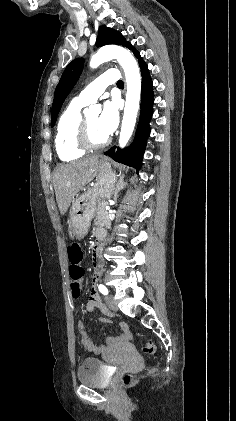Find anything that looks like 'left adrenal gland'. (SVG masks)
<instances>
[{"instance_id": "a2214340", "label": "left adrenal gland", "mask_w": 236, "mask_h": 421, "mask_svg": "<svg viewBox=\"0 0 236 421\" xmlns=\"http://www.w3.org/2000/svg\"><path fill=\"white\" fill-rule=\"evenodd\" d=\"M124 176L125 174H122V176H120V180L118 182V184H116V188L115 190H113L114 192V202H117V194L119 192V190H121V188H124V186H126L127 182H124Z\"/></svg>"}]
</instances>
